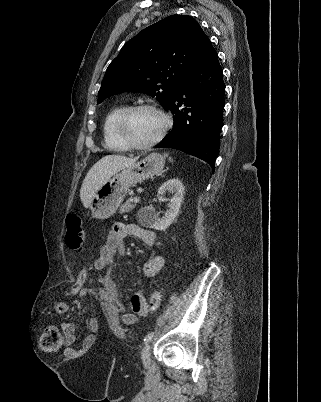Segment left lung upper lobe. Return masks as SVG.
<instances>
[{
  "label": "left lung upper lobe",
  "mask_w": 321,
  "mask_h": 402,
  "mask_svg": "<svg viewBox=\"0 0 321 402\" xmlns=\"http://www.w3.org/2000/svg\"><path fill=\"white\" fill-rule=\"evenodd\" d=\"M208 42L199 23L188 15L169 16L145 28L108 66L98 104L118 93L140 92L156 97L167 109Z\"/></svg>",
  "instance_id": "5c2ea615"
}]
</instances>
